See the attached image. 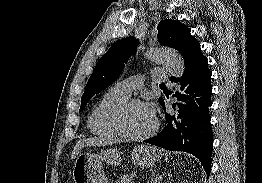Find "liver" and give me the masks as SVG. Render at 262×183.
<instances>
[{
    "instance_id": "liver-1",
    "label": "liver",
    "mask_w": 262,
    "mask_h": 183,
    "mask_svg": "<svg viewBox=\"0 0 262 183\" xmlns=\"http://www.w3.org/2000/svg\"><path fill=\"white\" fill-rule=\"evenodd\" d=\"M119 142L112 138L94 137V138H83L76 142L74 149L71 154V159L74 160L78 157L82 148L87 146H104L108 144H113Z\"/></svg>"
}]
</instances>
